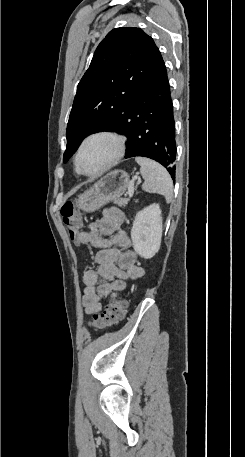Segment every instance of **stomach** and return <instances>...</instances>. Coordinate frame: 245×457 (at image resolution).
<instances>
[{
  "label": "stomach",
  "instance_id": "obj_1",
  "mask_svg": "<svg viewBox=\"0 0 245 457\" xmlns=\"http://www.w3.org/2000/svg\"><path fill=\"white\" fill-rule=\"evenodd\" d=\"M129 184V174L126 170H112L106 176H102L100 180L94 182L88 190L80 194L77 198V204L81 210L93 212L100 206H104L107 202L119 198L125 192Z\"/></svg>",
  "mask_w": 245,
  "mask_h": 457
}]
</instances>
